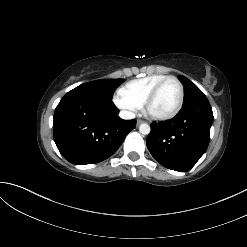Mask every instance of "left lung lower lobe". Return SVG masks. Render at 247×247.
Wrapping results in <instances>:
<instances>
[{"mask_svg": "<svg viewBox=\"0 0 247 247\" xmlns=\"http://www.w3.org/2000/svg\"><path fill=\"white\" fill-rule=\"evenodd\" d=\"M212 122L208 99H195L183 105L173 119L151 125L147 148L164 167L189 171L208 147Z\"/></svg>", "mask_w": 247, "mask_h": 247, "instance_id": "left-lung-lower-lobe-1", "label": "left lung lower lobe"}]
</instances>
